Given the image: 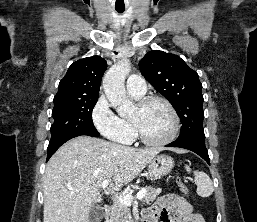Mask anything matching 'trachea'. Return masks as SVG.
<instances>
[{"instance_id": "1", "label": "trachea", "mask_w": 257, "mask_h": 222, "mask_svg": "<svg viewBox=\"0 0 257 222\" xmlns=\"http://www.w3.org/2000/svg\"><path fill=\"white\" fill-rule=\"evenodd\" d=\"M124 10H117L118 13H123Z\"/></svg>"}]
</instances>
